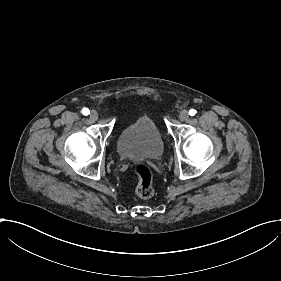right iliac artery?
Here are the masks:
<instances>
[{
  "instance_id": "right-iliac-artery-1",
  "label": "right iliac artery",
  "mask_w": 281,
  "mask_h": 281,
  "mask_svg": "<svg viewBox=\"0 0 281 281\" xmlns=\"http://www.w3.org/2000/svg\"><path fill=\"white\" fill-rule=\"evenodd\" d=\"M89 113H90V111H89L88 108H83V109H82V114H83V115L87 116V115H89Z\"/></svg>"
}]
</instances>
